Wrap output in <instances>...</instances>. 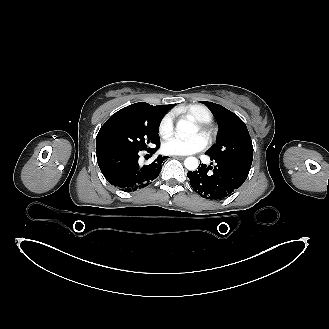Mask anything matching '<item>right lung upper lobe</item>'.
Listing matches in <instances>:
<instances>
[{
    "mask_svg": "<svg viewBox=\"0 0 329 329\" xmlns=\"http://www.w3.org/2000/svg\"><path fill=\"white\" fill-rule=\"evenodd\" d=\"M153 107H157L159 109L169 111L171 108L174 107V104L152 106L145 102L135 103L114 113L103 126L122 120H132L136 118H142L146 113H148L151 109H153Z\"/></svg>",
    "mask_w": 329,
    "mask_h": 329,
    "instance_id": "cb5924a9",
    "label": "right lung upper lobe"
}]
</instances>
